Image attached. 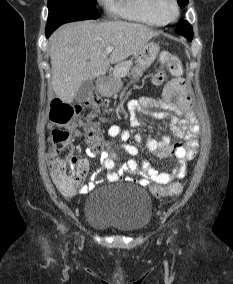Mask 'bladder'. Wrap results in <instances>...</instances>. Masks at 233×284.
I'll use <instances>...</instances> for the list:
<instances>
[{
	"label": "bladder",
	"mask_w": 233,
	"mask_h": 284,
	"mask_svg": "<svg viewBox=\"0 0 233 284\" xmlns=\"http://www.w3.org/2000/svg\"><path fill=\"white\" fill-rule=\"evenodd\" d=\"M153 203L146 190L118 185L92 192L85 201V221L100 230L136 233L150 223Z\"/></svg>",
	"instance_id": "bladder-1"
}]
</instances>
